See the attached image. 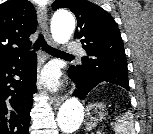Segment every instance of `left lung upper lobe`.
<instances>
[{
  "instance_id": "1",
  "label": "left lung upper lobe",
  "mask_w": 153,
  "mask_h": 134,
  "mask_svg": "<svg viewBox=\"0 0 153 134\" xmlns=\"http://www.w3.org/2000/svg\"><path fill=\"white\" fill-rule=\"evenodd\" d=\"M52 8H68L77 18L74 37L80 39L87 56L73 68L85 76L129 87L123 41L113 17L87 0H56Z\"/></svg>"
}]
</instances>
